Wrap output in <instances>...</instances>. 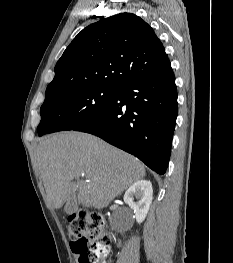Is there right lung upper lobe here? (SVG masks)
Masks as SVG:
<instances>
[{"instance_id":"obj_1","label":"right lung upper lobe","mask_w":233,"mask_h":263,"mask_svg":"<svg viewBox=\"0 0 233 263\" xmlns=\"http://www.w3.org/2000/svg\"><path fill=\"white\" fill-rule=\"evenodd\" d=\"M170 67L153 29L134 14L120 13L89 25L74 38L55 66L45 97L90 86L118 88Z\"/></svg>"}]
</instances>
